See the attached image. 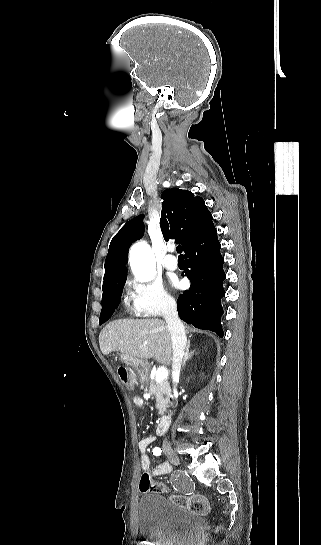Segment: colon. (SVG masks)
<instances>
[{"label": "colon", "instance_id": "5ec220e1", "mask_svg": "<svg viewBox=\"0 0 321 545\" xmlns=\"http://www.w3.org/2000/svg\"><path fill=\"white\" fill-rule=\"evenodd\" d=\"M118 375L128 390L135 387V377L130 369L125 366H119L117 369ZM139 488L141 492H164L165 486L153 480L148 472L141 475ZM172 500L179 505L185 506L193 511L201 514H206L209 511L208 499L201 494H193L190 496L173 495Z\"/></svg>", "mask_w": 321, "mask_h": 545}]
</instances>
